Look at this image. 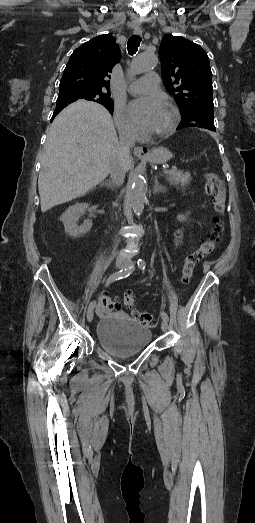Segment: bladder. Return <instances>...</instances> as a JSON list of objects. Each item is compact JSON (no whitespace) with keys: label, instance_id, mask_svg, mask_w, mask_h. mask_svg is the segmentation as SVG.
Listing matches in <instances>:
<instances>
[{"label":"bladder","instance_id":"obj_1","mask_svg":"<svg viewBox=\"0 0 255 523\" xmlns=\"http://www.w3.org/2000/svg\"><path fill=\"white\" fill-rule=\"evenodd\" d=\"M125 327H118L113 318H103L96 330V339L103 349L111 354L126 356L140 352L150 344L151 329L129 318Z\"/></svg>","mask_w":255,"mask_h":523}]
</instances>
